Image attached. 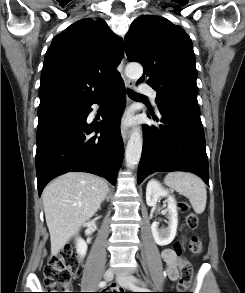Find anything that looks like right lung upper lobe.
Returning a JSON list of instances; mask_svg holds the SVG:
<instances>
[{"instance_id": "1", "label": "right lung upper lobe", "mask_w": 245, "mask_h": 293, "mask_svg": "<svg viewBox=\"0 0 245 293\" xmlns=\"http://www.w3.org/2000/svg\"><path fill=\"white\" fill-rule=\"evenodd\" d=\"M124 55L121 38L103 19H82L54 37L41 73L39 108L82 105L113 85Z\"/></svg>"}]
</instances>
